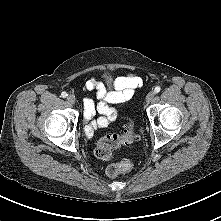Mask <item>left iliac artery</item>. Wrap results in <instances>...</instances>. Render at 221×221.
Returning a JSON list of instances; mask_svg holds the SVG:
<instances>
[{
	"label": "left iliac artery",
	"mask_w": 221,
	"mask_h": 221,
	"mask_svg": "<svg viewBox=\"0 0 221 221\" xmlns=\"http://www.w3.org/2000/svg\"><path fill=\"white\" fill-rule=\"evenodd\" d=\"M160 90H161L160 86H157V87H155L154 92L158 93V92H160Z\"/></svg>",
	"instance_id": "obj_1"
}]
</instances>
